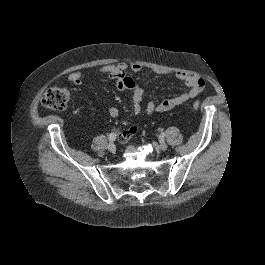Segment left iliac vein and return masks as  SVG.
<instances>
[{"mask_svg":"<svg viewBox=\"0 0 265 265\" xmlns=\"http://www.w3.org/2000/svg\"><path fill=\"white\" fill-rule=\"evenodd\" d=\"M159 148H160V150L165 151V150H167L168 146L165 142H161L159 144Z\"/></svg>","mask_w":265,"mask_h":265,"instance_id":"obj_1","label":"left iliac vein"}]
</instances>
